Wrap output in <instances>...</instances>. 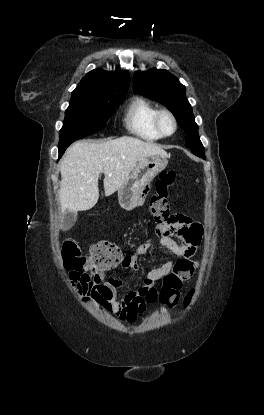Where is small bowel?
<instances>
[{
  "mask_svg": "<svg viewBox=\"0 0 264 415\" xmlns=\"http://www.w3.org/2000/svg\"><path fill=\"white\" fill-rule=\"evenodd\" d=\"M166 227L179 237V240H176L171 236H163L160 241L173 257L150 270L144 278V284L137 289L128 291L122 301L118 300L117 292L123 283L115 276L106 278V269L72 274L71 278L115 317L124 322H135L138 316L145 312L149 304L148 294L154 290L157 281L169 274L177 262L194 254L197 241L203 232L197 222L183 215L172 216ZM152 246L153 244L150 242L138 246L132 254L124 257L121 261V267L138 270V257L146 253Z\"/></svg>",
  "mask_w": 264,
  "mask_h": 415,
  "instance_id": "obj_1",
  "label": "small bowel"
}]
</instances>
